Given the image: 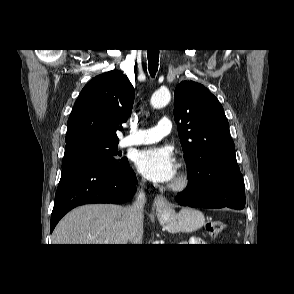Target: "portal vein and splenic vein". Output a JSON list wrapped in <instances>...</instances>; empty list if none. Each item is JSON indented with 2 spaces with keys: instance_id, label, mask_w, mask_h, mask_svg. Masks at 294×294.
<instances>
[{
  "instance_id": "18ae733b",
  "label": "portal vein and splenic vein",
  "mask_w": 294,
  "mask_h": 294,
  "mask_svg": "<svg viewBox=\"0 0 294 294\" xmlns=\"http://www.w3.org/2000/svg\"><path fill=\"white\" fill-rule=\"evenodd\" d=\"M108 243H109L108 240H105V241H104V244H108Z\"/></svg>"
}]
</instances>
